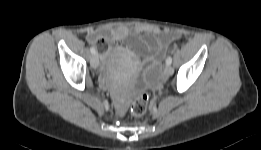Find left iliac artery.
<instances>
[{
    "label": "left iliac artery",
    "mask_w": 261,
    "mask_h": 150,
    "mask_svg": "<svg viewBox=\"0 0 261 150\" xmlns=\"http://www.w3.org/2000/svg\"><path fill=\"white\" fill-rule=\"evenodd\" d=\"M171 63H172V57L168 56L167 59H166V64L171 65Z\"/></svg>",
    "instance_id": "1"
}]
</instances>
